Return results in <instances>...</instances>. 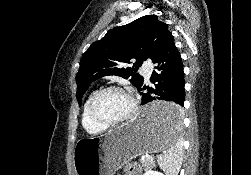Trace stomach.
Instances as JSON below:
<instances>
[{
    "mask_svg": "<svg viewBox=\"0 0 251 175\" xmlns=\"http://www.w3.org/2000/svg\"><path fill=\"white\" fill-rule=\"evenodd\" d=\"M171 100H151V105L142 107L136 119L111 129L104 135H84L75 143L72 159L76 175H113L124 163L139 154H156L170 148L171 141L181 134V114Z\"/></svg>",
    "mask_w": 251,
    "mask_h": 175,
    "instance_id": "stomach-1",
    "label": "stomach"
}]
</instances>
